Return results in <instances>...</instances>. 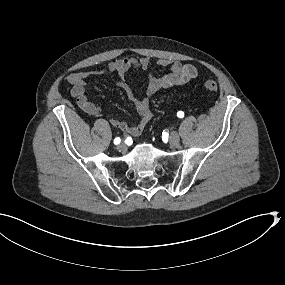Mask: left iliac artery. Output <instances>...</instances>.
Wrapping results in <instances>:
<instances>
[{
    "label": "left iliac artery",
    "mask_w": 285,
    "mask_h": 285,
    "mask_svg": "<svg viewBox=\"0 0 285 285\" xmlns=\"http://www.w3.org/2000/svg\"><path fill=\"white\" fill-rule=\"evenodd\" d=\"M177 116H178L179 118H183V117H184V112H183V111H179V112L177 113Z\"/></svg>",
    "instance_id": "1"
}]
</instances>
